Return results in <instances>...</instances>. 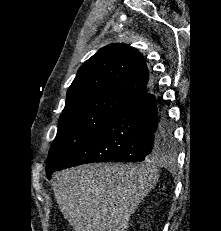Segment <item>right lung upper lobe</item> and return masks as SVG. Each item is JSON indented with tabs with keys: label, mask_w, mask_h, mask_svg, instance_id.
Segmentation results:
<instances>
[{
	"label": "right lung upper lobe",
	"mask_w": 221,
	"mask_h": 231,
	"mask_svg": "<svg viewBox=\"0 0 221 231\" xmlns=\"http://www.w3.org/2000/svg\"><path fill=\"white\" fill-rule=\"evenodd\" d=\"M154 88L143 56L127 44H110L79 68L67 91L65 107L95 96L132 101Z\"/></svg>",
	"instance_id": "cb5924a9"
}]
</instances>
